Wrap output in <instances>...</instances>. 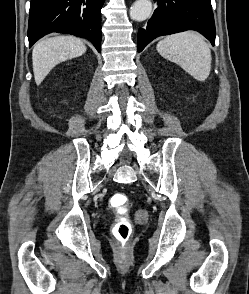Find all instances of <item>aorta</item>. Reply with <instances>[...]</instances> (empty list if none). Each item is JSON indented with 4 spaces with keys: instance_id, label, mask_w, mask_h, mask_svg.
Returning <instances> with one entry per match:
<instances>
[{
    "instance_id": "1",
    "label": "aorta",
    "mask_w": 249,
    "mask_h": 294,
    "mask_svg": "<svg viewBox=\"0 0 249 294\" xmlns=\"http://www.w3.org/2000/svg\"><path fill=\"white\" fill-rule=\"evenodd\" d=\"M152 12L151 0H137L130 8V17L135 21L146 20Z\"/></svg>"
}]
</instances>
